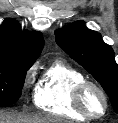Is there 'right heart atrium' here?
<instances>
[{
  "label": "right heart atrium",
  "instance_id": "obj_1",
  "mask_svg": "<svg viewBox=\"0 0 118 123\" xmlns=\"http://www.w3.org/2000/svg\"><path fill=\"white\" fill-rule=\"evenodd\" d=\"M31 75H32V69H30V70L27 71V73H26V79L27 80L30 79Z\"/></svg>",
  "mask_w": 118,
  "mask_h": 123
}]
</instances>
